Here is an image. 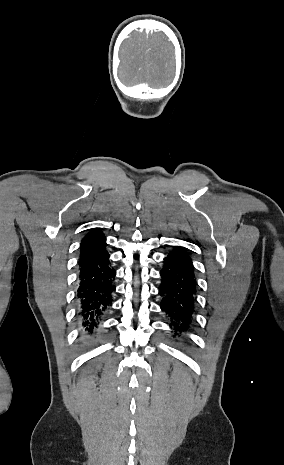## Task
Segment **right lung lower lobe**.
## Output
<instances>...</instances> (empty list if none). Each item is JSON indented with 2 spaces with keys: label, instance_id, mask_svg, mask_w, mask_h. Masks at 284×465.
Here are the masks:
<instances>
[{
  "label": "right lung lower lobe",
  "instance_id": "98d812e1",
  "mask_svg": "<svg viewBox=\"0 0 284 465\" xmlns=\"http://www.w3.org/2000/svg\"><path fill=\"white\" fill-rule=\"evenodd\" d=\"M105 237L83 251L79 258V315L85 327L84 342L97 338L96 328L111 305L116 271L111 267ZM99 332V330H98Z\"/></svg>",
  "mask_w": 284,
  "mask_h": 465
}]
</instances>
